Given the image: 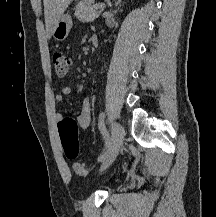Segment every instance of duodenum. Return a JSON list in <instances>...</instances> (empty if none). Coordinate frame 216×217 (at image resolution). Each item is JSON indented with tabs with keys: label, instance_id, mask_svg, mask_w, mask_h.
Here are the masks:
<instances>
[{
	"label": "duodenum",
	"instance_id": "obj_1",
	"mask_svg": "<svg viewBox=\"0 0 216 217\" xmlns=\"http://www.w3.org/2000/svg\"><path fill=\"white\" fill-rule=\"evenodd\" d=\"M90 40L92 45L95 47L99 44V38L97 36H92Z\"/></svg>",
	"mask_w": 216,
	"mask_h": 217
}]
</instances>
